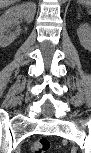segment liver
Listing matches in <instances>:
<instances>
[{
	"instance_id": "1",
	"label": "liver",
	"mask_w": 91,
	"mask_h": 153,
	"mask_svg": "<svg viewBox=\"0 0 91 153\" xmlns=\"http://www.w3.org/2000/svg\"><path fill=\"white\" fill-rule=\"evenodd\" d=\"M17 0H1V6H6V5H10L14 2H16Z\"/></svg>"
}]
</instances>
